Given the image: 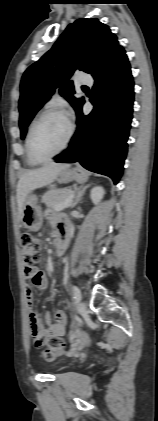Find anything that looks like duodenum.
<instances>
[{"label": "duodenum", "instance_id": "410a0bca", "mask_svg": "<svg viewBox=\"0 0 158 421\" xmlns=\"http://www.w3.org/2000/svg\"><path fill=\"white\" fill-rule=\"evenodd\" d=\"M69 238L67 234H63L59 237L57 242V255L61 256L68 247Z\"/></svg>", "mask_w": 158, "mask_h": 421}]
</instances>
